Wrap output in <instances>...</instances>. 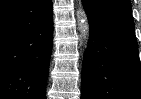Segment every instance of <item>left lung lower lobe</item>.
<instances>
[{
    "mask_svg": "<svg viewBox=\"0 0 141 99\" xmlns=\"http://www.w3.org/2000/svg\"><path fill=\"white\" fill-rule=\"evenodd\" d=\"M90 37L82 99H141V66L129 0H82Z\"/></svg>",
    "mask_w": 141,
    "mask_h": 99,
    "instance_id": "obj_1",
    "label": "left lung lower lobe"
}]
</instances>
